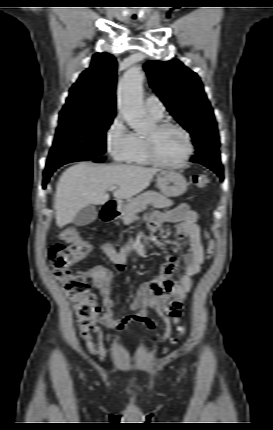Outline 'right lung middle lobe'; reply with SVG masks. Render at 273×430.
Returning <instances> with one entry per match:
<instances>
[{
    "label": "right lung middle lobe",
    "mask_w": 273,
    "mask_h": 430,
    "mask_svg": "<svg viewBox=\"0 0 273 430\" xmlns=\"http://www.w3.org/2000/svg\"><path fill=\"white\" fill-rule=\"evenodd\" d=\"M115 114L62 110L45 172L74 162L97 159L106 152V131Z\"/></svg>",
    "instance_id": "dd1d6c3e"
}]
</instances>
